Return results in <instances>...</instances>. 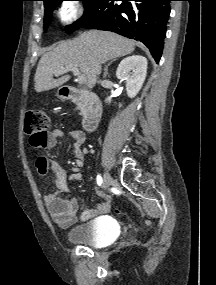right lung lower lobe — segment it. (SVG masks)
Listing matches in <instances>:
<instances>
[{"instance_id": "1", "label": "right lung lower lobe", "mask_w": 216, "mask_h": 285, "mask_svg": "<svg viewBox=\"0 0 216 285\" xmlns=\"http://www.w3.org/2000/svg\"><path fill=\"white\" fill-rule=\"evenodd\" d=\"M102 0L81 28L108 30L145 44L159 62L172 0Z\"/></svg>"}]
</instances>
